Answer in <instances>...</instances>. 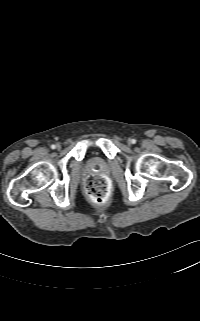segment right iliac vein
<instances>
[{
    "mask_svg": "<svg viewBox=\"0 0 200 321\" xmlns=\"http://www.w3.org/2000/svg\"><path fill=\"white\" fill-rule=\"evenodd\" d=\"M56 148H57V149H60V148H61V145H60V144H57V145H56Z\"/></svg>",
    "mask_w": 200,
    "mask_h": 321,
    "instance_id": "63e3f726",
    "label": "right iliac vein"
}]
</instances>
